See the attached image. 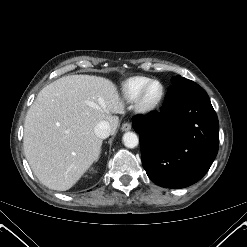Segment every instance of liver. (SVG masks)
I'll return each instance as SVG.
<instances>
[{"label":"liver","instance_id":"6515ba94","mask_svg":"<svg viewBox=\"0 0 247 247\" xmlns=\"http://www.w3.org/2000/svg\"><path fill=\"white\" fill-rule=\"evenodd\" d=\"M123 112L116 85L103 77L63 76L44 87L24 123V152L35 176L50 189H70L99 157L97 123L107 121L113 134L119 124L113 114Z\"/></svg>","mask_w":247,"mask_h":247}]
</instances>
